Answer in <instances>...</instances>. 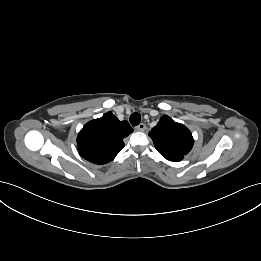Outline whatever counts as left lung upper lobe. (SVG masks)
Masks as SVG:
<instances>
[{"instance_id":"1","label":"left lung upper lobe","mask_w":261,"mask_h":261,"mask_svg":"<svg viewBox=\"0 0 261 261\" xmlns=\"http://www.w3.org/2000/svg\"><path fill=\"white\" fill-rule=\"evenodd\" d=\"M149 136L160 154L170 161H181L194 143L189 129L167 115L161 117Z\"/></svg>"}]
</instances>
